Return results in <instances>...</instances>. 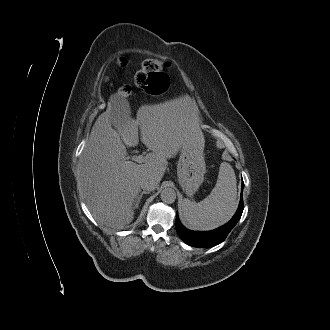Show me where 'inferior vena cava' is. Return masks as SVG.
<instances>
[{"label": "inferior vena cava", "instance_id": "1", "mask_svg": "<svg viewBox=\"0 0 330 330\" xmlns=\"http://www.w3.org/2000/svg\"><path fill=\"white\" fill-rule=\"evenodd\" d=\"M157 180L151 175H147L142 178L140 186L143 190L153 191L157 188Z\"/></svg>", "mask_w": 330, "mask_h": 330}]
</instances>
